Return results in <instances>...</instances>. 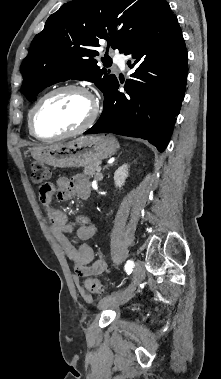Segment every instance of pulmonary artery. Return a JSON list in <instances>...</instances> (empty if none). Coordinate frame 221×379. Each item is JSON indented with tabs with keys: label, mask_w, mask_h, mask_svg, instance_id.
Returning <instances> with one entry per match:
<instances>
[{
	"label": "pulmonary artery",
	"mask_w": 221,
	"mask_h": 379,
	"mask_svg": "<svg viewBox=\"0 0 221 379\" xmlns=\"http://www.w3.org/2000/svg\"><path fill=\"white\" fill-rule=\"evenodd\" d=\"M114 62L119 66L121 70H124L126 67V58L124 55L116 53L113 56Z\"/></svg>",
	"instance_id": "1"
}]
</instances>
